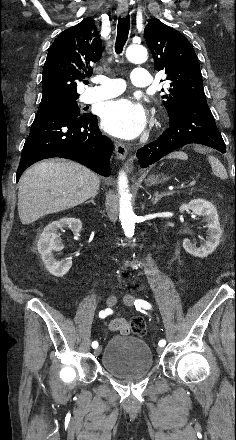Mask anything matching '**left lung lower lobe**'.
Returning a JSON list of instances; mask_svg holds the SVG:
<instances>
[{
    "label": "left lung lower lobe",
    "mask_w": 236,
    "mask_h": 440,
    "mask_svg": "<svg viewBox=\"0 0 236 440\" xmlns=\"http://www.w3.org/2000/svg\"><path fill=\"white\" fill-rule=\"evenodd\" d=\"M190 143L204 144L222 153L226 147L206 100L188 103L170 120V127L154 142L137 152L142 168H145L175 149Z\"/></svg>",
    "instance_id": "1"
}]
</instances>
